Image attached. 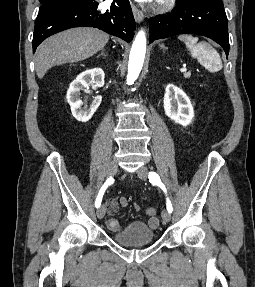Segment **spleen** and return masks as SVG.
I'll use <instances>...</instances> for the list:
<instances>
[{"mask_svg": "<svg viewBox=\"0 0 255 287\" xmlns=\"http://www.w3.org/2000/svg\"><path fill=\"white\" fill-rule=\"evenodd\" d=\"M178 40H181V42H184V44H186L193 58H198L199 60L202 54L201 60L203 66H209L211 70H221V58L219 54H217L216 50H214V48L210 46V44H204V42H202V44H197L198 38H193V36H187V34H184V36H178Z\"/></svg>", "mask_w": 255, "mask_h": 287, "instance_id": "3e777b00", "label": "spleen"}]
</instances>
